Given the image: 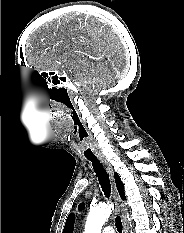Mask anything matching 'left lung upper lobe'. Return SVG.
I'll return each instance as SVG.
<instances>
[{"mask_svg": "<svg viewBox=\"0 0 184 233\" xmlns=\"http://www.w3.org/2000/svg\"><path fill=\"white\" fill-rule=\"evenodd\" d=\"M83 208H84V204L82 203L79 205V209H83Z\"/></svg>", "mask_w": 184, "mask_h": 233, "instance_id": "left-lung-upper-lobe-1", "label": "left lung upper lobe"}]
</instances>
